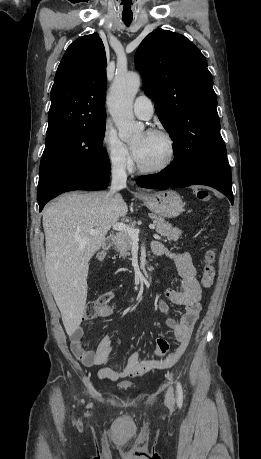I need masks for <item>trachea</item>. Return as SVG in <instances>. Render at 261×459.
<instances>
[{
    "mask_svg": "<svg viewBox=\"0 0 261 459\" xmlns=\"http://www.w3.org/2000/svg\"><path fill=\"white\" fill-rule=\"evenodd\" d=\"M125 24H130L131 23V20H124Z\"/></svg>",
    "mask_w": 261,
    "mask_h": 459,
    "instance_id": "trachea-1",
    "label": "trachea"
}]
</instances>
